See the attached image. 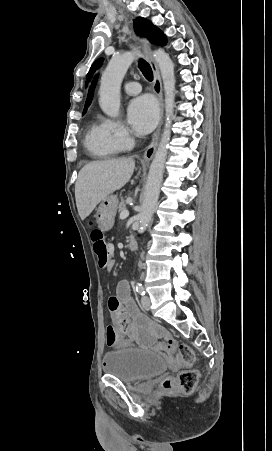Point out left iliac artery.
I'll return each instance as SVG.
<instances>
[{
  "label": "left iliac artery",
  "mask_w": 272,
  "mask_h": 451,
  "mask_svg": "<svg viewBox=\"0 0 272 451\" xmlns=\"http://www.w3.org/2000/svg\"><path fill=\"white\" fill-rule=\"evenodd\" d=\"M136 291L138 292V294H140L142 296L145 295L144 286L140 282L136 283Z\"/></svg>",
  "instance_id": "1"
}]
</instances>
